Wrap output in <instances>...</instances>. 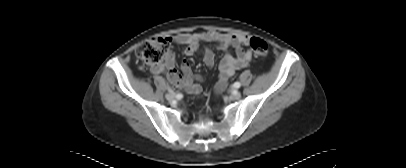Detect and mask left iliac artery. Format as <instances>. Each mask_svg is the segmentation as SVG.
Returning <instances> with one entry per match:
<instances>
[{
  "instance_id": "left-iliac-artery-1",
  "label": "left iliac artery",
  "mask_w": 406,
  "mask_h": 168,
  "mask_svg": "<svg viewBox=\"0 0 406 168\" xmlns=\"http://www.w3.org/2000/svg\"><path fill=\"white\" fill-rule=\"evenodd\" d=\"M240 86H241V84H240L239 82H235V83L233 84V87H234V88H240Z\"/></svg>"
}]
</instances>
